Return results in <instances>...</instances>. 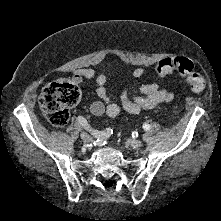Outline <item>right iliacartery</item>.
<instances>
[{"mask_svg":"<svg viewBox=\"0 0 221 221\" xmlns=\"http://www.w3.org/2000/svg\"><path fill=\"white\" fill-rule=\"evenodd\" d=\"M78 121H79L80 125H82L85 129H87V130L90 129V126L85 118H83L82 116H79ZM112 130H114V125H109V126H106L104 131L90 129V134H93V136L101 138V139H107L108 136H110V133Z\"/></svg>","mask_w":221,"mask_h":221,"instance_id":"obj_1","label":"right iliac artery"}]
</instances>
